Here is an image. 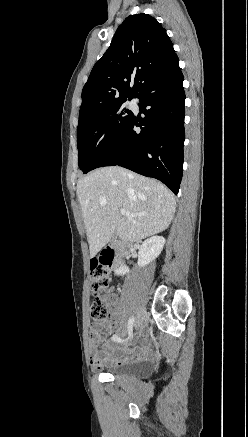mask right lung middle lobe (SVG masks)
<instances>
[{
    "label": "right lung middle lobe",
    "instance_id": "dd1d6c3e",
    "mask_svg": "<svg viewBox=\"0 0 248 437\" xmlns=\"http://www.w3.org/2000/svg\"><path fill=\"white\" fill-rule=\"evenodd\" d=\"M126 100L93 114L78 125V163L84 173L92 170L133 118L134 114L123 105Z\"/></svg>",
    "mask_w": 248,
    "mask_h": 437
}]
</instances>
